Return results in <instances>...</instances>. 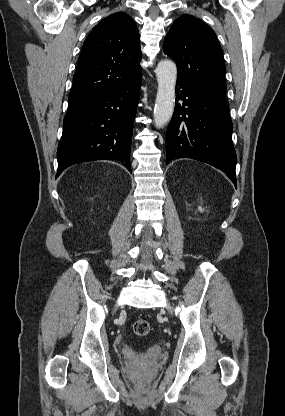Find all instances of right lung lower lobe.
<instances>
[{
  "instance_id": "1",
  "label": "right lung lower lobe",
  "mask_w": 285,
  "mask_h": 416,
  "mask_svg": "<svg viewBox=\"0 0 285 416\" xmlns=\"http://www.w3.org/2000/svg\"><path fill=\"white\" fill-rule=\"evenodd\" d=\"M142 75L99 98L69 106L57 149L56 178L67 167L118 160L131 172L130 149Z\"/></svg>"
}]
</instances>
